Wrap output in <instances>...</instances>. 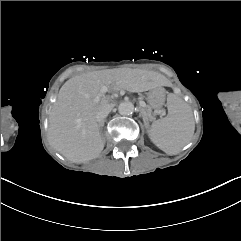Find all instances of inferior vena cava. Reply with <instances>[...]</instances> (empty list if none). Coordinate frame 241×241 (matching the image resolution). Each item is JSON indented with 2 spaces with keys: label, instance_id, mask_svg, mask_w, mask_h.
Returning a JSON list of instances; mask_svg holds the SVG:
<instances>
[{
  "label": "inferior vena cava",
  "instance_id": "602c4592",
  "mask_svg": "<svg viewBox=\"0 0 241 241\" xmlns=\"http://www.w3.org/2000/svg\"><path fill=\"white\" fill-rule=\"evenodd\" d=\"M111 110H112V108L109 107V108L97 113L96 121L99 124V126L104 124L105 118L108 116V114L111 112Z\"/></svg>",
  "mask_w": 241,
  "mask_h": 241
}]
</instances>
